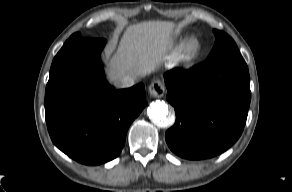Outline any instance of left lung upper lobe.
Returning a JSON list of instances; mask_svg holds the SVG:
<instances>
[{
	"label": "left lung upper lobe",
	"instance_id": "obj_1",
	"mask_svg": "<svg viewBox=\"0 0 292 192\" xmlns=\"http://www.w3.org/2000/svg\"><path fill=\"white\" fill-rule=\"evenodd\" d=\"M213 32L216 37L215 46L207 60L227 55L241 56L236 43L229 35L219 30H213Z\"/></svg>",
	"mask_w": 292,
	"mask_h": 192
}]
</instances>
